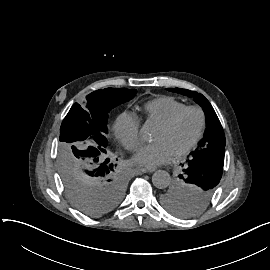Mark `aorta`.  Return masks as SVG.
<instances>
[{
    "mask_svg": "<svg viewBox=\"0 0 270 270\" xmlns=\"http://www.w3.org/2000/svg\"><path fill=\"white\" fill-rule=\"evenodd\" d=\"M171 177L164 170H157L152 176L153 185L159 189H164L170 184Z\"/></svg>",
    "mask_w": 270,
    "mask_h": 270,
    "instance_id": "762f6f07",
    "label": "aorta"
}]
</instances>
